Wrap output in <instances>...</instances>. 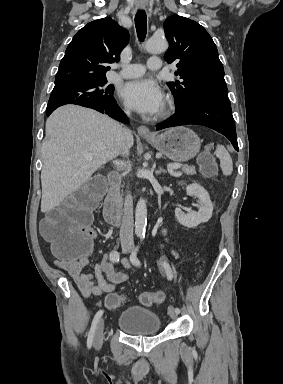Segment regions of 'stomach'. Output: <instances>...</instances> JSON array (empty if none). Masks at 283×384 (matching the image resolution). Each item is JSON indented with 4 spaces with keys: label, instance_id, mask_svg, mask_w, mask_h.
<instances>
[{
    "label": "stomach",
    "instance_id": "0dacf381",
    "mask_svg": "<svg viewBox=\"0 0 283 384\" xmlns=\"http://www.w3.org/2000/svg\"><path fill=\"white\" fill-rule=\"evenodd\" d=\"M158 152L174 160V162H187L194 158L200 150V140L189 128H172L161 136L144 138Z\"/></svg>",
    "mask_w": 283,
    "mask_h": 384
}]
</instances>
